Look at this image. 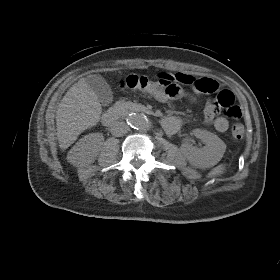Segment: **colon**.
Wrapping results in <instances>:
<instances>
[{
  "label": "colon",
  "mask_w": 280,
  "mask_h": 280,
  "mask_svg": "<svg viewBox=\"0 0 280 280\" xmlns=\"http://www.w3.org/2000/svg\"><path fill=\"white\" fill-rule=\"evenodd\" d=\"M121 84L123 87L147 93L161 100L183 97L182 83L176 74L160 73L155 79L130 75ZM199 89L203 93H215L218 90V86L214 82H208L204 88ZM221 112L230 119L236 120L241 117V109L235 104V98L231 91H220L212 103L211 115L215 117ZM244 132V126L241 123H236L232 127L231 135L233 139L240 140L243 138Z\"/></svg>",
  "instance_id": "1"
}]
</instances>
